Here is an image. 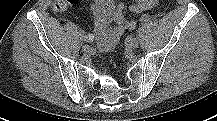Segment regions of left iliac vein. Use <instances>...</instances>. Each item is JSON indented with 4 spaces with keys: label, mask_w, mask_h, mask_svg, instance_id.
Returning <instances> with one entry per match:
<instances>
[{
    "label": "left iliac vein",
    "mask_w": 217,
    "mask_h": 121,
    "mask_svg": "<svg viewBox=\"0 0 217 121\" xmlns=\"http://www.w3.org/2000/svg\"><path fill=\"white\" fill-rule=\"evenodd\" d=\"M138 44H139V40L136 37H129L127 39V47L129 49H135V48H137Z\"/></svg>",
    "instance_id": "obj_1"
}]
</instances>
